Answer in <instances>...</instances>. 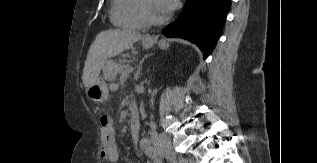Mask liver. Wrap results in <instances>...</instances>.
Instances as JSON below:
<instances>
[{
  "label": "liver",
  "instance_id": "6515ba94",
  "mask_svg": "<svg viewBox=\"0 0 317 163\" xmlns=\"http://www.w3.org/2000/svg\"><path fill=\"white\" fill-rule=\"evenodd\" d=\"M140 39V34L127 30H107L97 34L85 61L82 77L84 86L96 83L108 58L131 48Z\"/></svg>",
  "mask_w": 317,
  "mask_h": 163
}]
</instances>
